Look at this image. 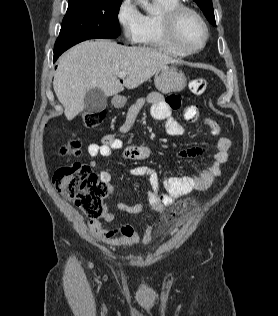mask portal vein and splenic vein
<instances>
[{
	"label": "portal vein and splenic vein",
	"mask_w": 278,
	"mask_h": 316,
	"mask_svg": "<svg viewBox=\"0 0 278 316\" xmlns=\"http://www.w3.org/2000/svg\"><path fill=\"white\" fill-rule=\"evenodd\" d=\"M118 77H119V78H125V77H126V72H120V73L118 74Z\"/></svg>",
	"instance_id": "obj_1"
}]
</instances>
